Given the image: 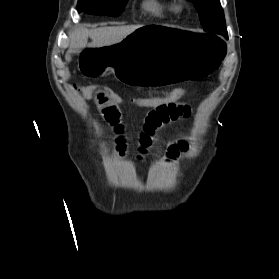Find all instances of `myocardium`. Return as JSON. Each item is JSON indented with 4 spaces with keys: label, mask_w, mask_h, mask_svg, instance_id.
Returning <instances> with one entry per match:
<instances>
[{
    "label": "myocardium",
    "mask_w": 279,
    "mask_h": 279,
    "mask_svg": "<svg viewBox=\"0 0 279 279\" xmlns=\"http://www.w3.org/2000/svg\"><path fill=\"white\" fill-rule=\"evenodd\" d=\"M184 8V4H180L179 6H178V9H180V10H182Z\"/></svg>",
    "instance_id": "obj_1"
}]
</instances>
